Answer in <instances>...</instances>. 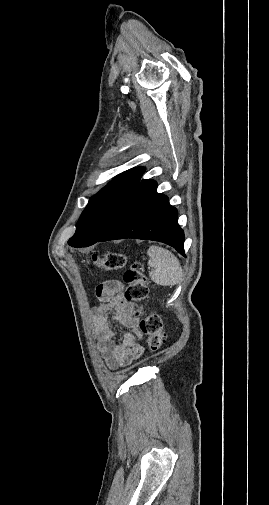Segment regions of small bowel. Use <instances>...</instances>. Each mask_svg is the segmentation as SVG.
<instances>
[{
	"label": "small bowel",
	"mask_w": 269,
	"mask_h": 505,
	"mask_svg": "<svg viewBox=\"0 0 269 505\" xmlns=\"http://www.w3.org/2000/svg\"><path fill=\"white\" fill-rule=\"evenodd\" d=\"M95 294L100 304L92 314L101 354L110 369L125 367L143 354L142 346L136 343V338H141L143 334L132 314V304L124 297L122 284L117 280L100 284ZM110 315L130 330L124 333L120 343L115 341Z\"/></svg>",
	"instance_id": "1"
}]
</instances>
